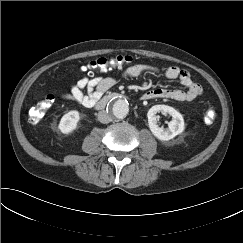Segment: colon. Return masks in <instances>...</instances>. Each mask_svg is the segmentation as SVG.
<instances>
[{"mask_svg":"<svg viewBox=\"0 0 243 243\" xmlns=\"http://www.w3.org/2000/svg\"><path fill=\"white\" fill-rule=\"evenodd\" d=\"M132 57L128 55H116L114 57H100L83 66L81 70L91 76L95 72H105L110 68L121 67L129 64ZM54 103V96L49 94L44 100L32 107L29 111V120L32 124H37ZM217 113L213 107L207 108L204 114L205 122L210 124L215 121Z\"/></svg>","mask_w":243,"mask_h":243,"instance_id":"colon-1","label":"colon"}]
</instances>
